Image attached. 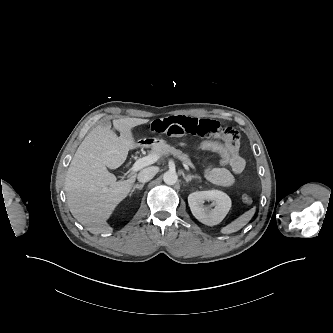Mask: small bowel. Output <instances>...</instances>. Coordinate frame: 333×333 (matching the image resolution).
Here are the masks:
<instances>
[{"instance_id": "1", "label": "small bowel", "mask_w": 333, "mask_h": 333, "mask_svg": "<svg viewBox=\"0 0 333 333\" xmlns=\"http://www.w3.org/2000/svg\"><path fill=\"white\" fill-rule=\"evenodd\" d=\"M149 131L166 134L171 137L191 135L212 138L229 151V166H209L205 170L206 178L213 184L229 187L235 184L236 177L245 168V161L239 154V137L231 127L222 126L213 119L194 118L182 115L157 118L148 124Z\"/></svg>"}]
</instances>
